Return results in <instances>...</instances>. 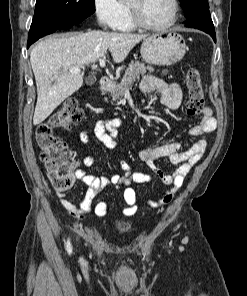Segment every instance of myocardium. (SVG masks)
<instances>
[{
	"label": "myocardium",
	"instance_id": "obj_1",
	"mask_svg": "<svg viewBox=\"0 0 247 296\" xmlns=\"http://www.w3.org/2000/svg\"><path fill=\"white\" fill-rule=\"evenodd\" d=\"M171 7H172V11H171V16L169 18V20L161 25H151L146 23L140 16L139 10L136 7L135 4H133L131 2V0H128L127 5L128 8L130 10V14H131V19L133 24L136 27H139L143 30H148V31H164L169 29L170 27H172L177 19H178V14H179V3L177 0H169Z\"/></svg>",
	"mask_w": 247,
	"mask_h": 296
}]
</instances>
